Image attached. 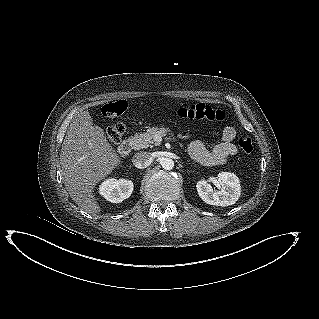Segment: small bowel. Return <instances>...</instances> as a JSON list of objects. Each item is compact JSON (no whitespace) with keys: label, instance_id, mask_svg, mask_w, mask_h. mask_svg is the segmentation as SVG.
<instances>
[{"label":"small bowel","instance_id":"obj_1","mask_svg":"<svg viewBox=\"0 0 319 319\" xmlns=\"http://www.w3.org/2000/svg\"><path fill=\"white\" fill-rule=\"evenodd\" d=\"M237 131L232 126H227L222 133V141L212 148H206L200 141L192 142L189 147L191 157L204 166H215L225 163L237 154L234 144Z\"/></svg>","mask_w":319,"mask_h":319}]
</instances>
